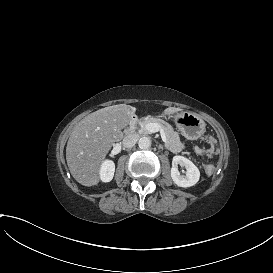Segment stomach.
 I'll return each instance as SVG.
<instances>
[{
	"label": "stomach",
	"mask_w": 273,
	"mask_h": 273,
	"mask_svg": "<svg viewBox=\"0 0 273 273\" xmlns=\"http://www.w3.org/2000/svg\"><path fill=\"white\" fill-rule=\"evenodd\" d=\"M174 118L181 134L188 140H196L206 131V122L200 116L185 112Z\"/></svg>",
	"instance_id": "obj_1"
}]
</instances>
